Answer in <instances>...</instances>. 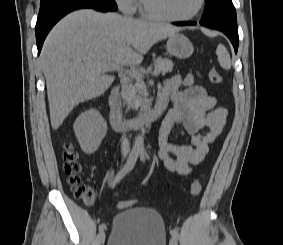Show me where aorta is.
Listing matches in <instances>:
<instances>
[{
  "mask_svg": "<svg viewBox=\"0 0 283 245\" xmlns=\"http://www.w3.org/2000/svg\"><path fill=\"white\" fill-rule=\"evenodd\" d=\"M134 149L138 151L144 150V138L143 135L140 133L135 137Z\"/></svg>",
  "mask_w": 283,
  "mask_h": 245,
  "instance_id": "obj_1",
  "label": "aorta"
}]
</instances>
